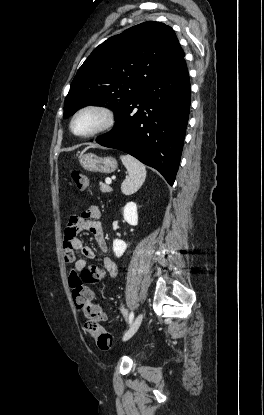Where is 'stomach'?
<instances>
[{"label":"stomach","instance_id":"1","mask_svg":"<svg viewBox=\"0 0 264 415\" xmlns=\"http://www.w3.org/2000/svg\"><path fill=\"white\" fill-rule=\"evenodd\" d=\"M81 166L90 172L112 173L117 169V161L113 157H99L93 153L79 156Z\"/></svg>","mask_w":264,"mask_h":415}]
</instances>
